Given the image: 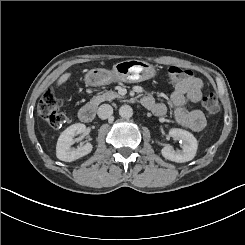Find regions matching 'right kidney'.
I'll return each mask as SVG.
<instances>
[{
  "mask_svg": "<svg viewBox=\"0 0 245 245\" xmlns=\"http://www.w3.org/2000/svg\"><path fill=\"white\" fill-rule=\"evenodd\" d=\"M85 129L86 126L84 124L76 123L61 133L56 145V156L59 160L64 162H73L83 156H86L92 151L93 146L91 143H86L77 149L70 148L76 142L75 137L84 132Z\"/></svg>",
  "mask_w": 245,
  "mask_h": 245,
  "instance_id": "1",
  "label": "right kidney"
}]
</instances>
